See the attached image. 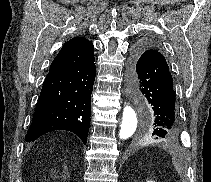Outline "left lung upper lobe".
I'll use <instances>...</instances> for the list:
<instances>
[{"instance_id": "left-lung-upper-lobe-1", "label": "left lung upper lobe", "mask_w": 211, "mask_h": 182, "mask_svg": "<svg viewBox=\"0 0 211 182\" xmlns=\"http://www.w3.org/2000/svg\"><path fill=\"white\" fill-rule=\"evenodd\" d=\"M150 42V41H149ZM153 46H155L156 47V45L154 44V42H150ZM157 48V47H156ZM150 129H147V131L146 132H148Z\"/></svg>"}]
</instances>
